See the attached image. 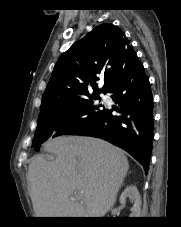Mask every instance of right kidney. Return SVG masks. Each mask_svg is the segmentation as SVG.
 <instances>
[{
	"instance_id": "1",
	"label": "right kidney",
	"mask_w": 181,
	"mask_h": 227,
	"mask_svg": "<svg viewBox=\"0 0 181 227\" xmlns=\"http://www.w3.org/2000/svg\"><path fill=\"white\" fill-rule=\"evenodd\" d=\"M129 198L130 202L133 204L131 208L130 217H140L141 213V196L134 185H129L125 188L120 196V204L124 206L126 204V199Z\"/></svg>"
}]
</instances>
